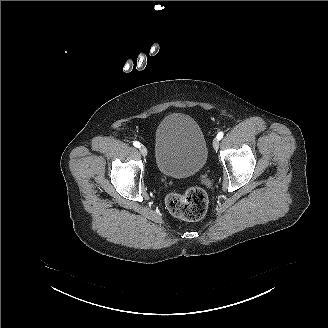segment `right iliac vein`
<instances>
[{
	"label": "right iliac vein",
	"instance_id": "1",
	"mask_svg": "<svg viewBox=\"0 0 328 328\" xmlns=\"http://www.w3.org/2000/svg\"><path fill=\"white\" fill-rule=\"evenodd\" d=\"M139 151L144 157L147 156V154H148L147 148L144 145H141L139 147Z\"/></svg>",
	"mask_w": 328,
	"mask_h": 328
}]
</instances>
